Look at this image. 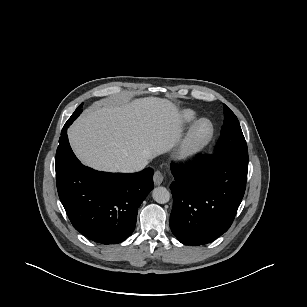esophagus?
<instances>
[{"label": "esophagus", "instance_id": "esophagus-1", "mask_svg": "<svg viewBox=\"0 0 307 307\" xmlns=\"http://www.w3.org/2000/svg\"><path fill=\"white\" fill-rule=\"evenodd\" d=\"M163 174L160 171H156L153 176V181L156 186L160 185L163 182Z\"/></svg>", "mask_w": 307, "mask_h": 307}]
</instances>
